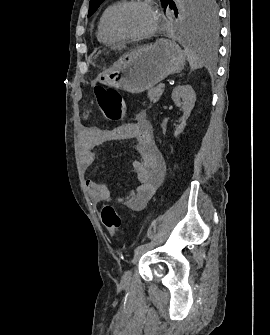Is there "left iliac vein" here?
<instances>
[{
  "instance_id": "4c4485c4",
  "label": "left iliac vein",
  "mask_w": 270,
  "mask_h": 335,
  "mask_svg": "<svg viewBox=\"0 0 270 335\" xmlns=\"http://www.w3.org/2000/svg\"><path fill=\"white\" fill-rule=\"evenodd\" d=\"M144 252H145V250L136 252L134 254V257H133L131 263L133 265L136 264L139 261V259L141 258V256L144 254ZM131 276H132V271L131 270L125 271L123 276H122V279H121V284L123 286H127L130 283Z\"/></svg>"
}]
</instances>
